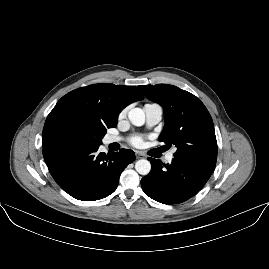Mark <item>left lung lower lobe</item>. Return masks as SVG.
Wrapping results in <instances>:
<instances>
[{
  "instance_id": "left-lung-lower-lobe-1",
  "label": "left lung lower lobe",
  "mask_w": 269,
  "mask_h": 269,
  "mask_svg": "<svg viewBox=\"0 0 269 269\" xmlns=\"http://www.w3.org/2000/svg\"><path fill=\"white\" fill-rule=\"evenodd\" d=\"M151 172L142 178L141 186L150 198L163 204H178L198 193L213 170L177 158L171 164L148 158Z\"/></svg>"
}]
</instances>
